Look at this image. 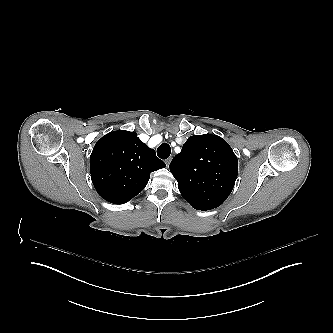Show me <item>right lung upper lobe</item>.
<instances>
[{"label": "right lung upper lobe", "instance_id": "obj_1", "mask_svg": "<svg viewBox=\"0 0 333 333\" xmlns=\"http://www.w3.org/2000/svg\"><path fill=\"white\" fill-rule=\"evenodd\" d=\"M135 132L118 130L103 136L90 156L92 182L98 194L113 204H123L147 185L150 173L164 168Z\"/></svg>", "mask_w": 333, "mask_h": 333}]
</instances>
